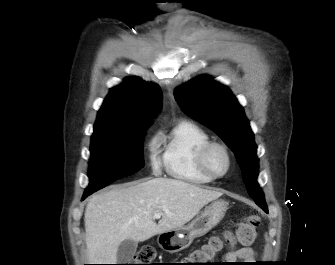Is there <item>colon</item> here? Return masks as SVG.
Wrapping results in <instances>:
<instances>
[{"label": "colon", "instance_id": "colon-1", "mask_svg": "<svg viewBox=\"0 0 335 265\" xmlns=\"http://www.w3.org/2000/svg\"><path fill=\"white\" fill-rule=\"evenodd\" d=\"M260 226V218L257 215H249L237 223L235 230L225 231L222 235L211 237L199 249L194 250L185 260L189 265H210L216 256L226 245L241 244L248 246L257 237ZM156 252L151 246L142 247L134 257L133 264L126 265H153Z\"/></svg>", "mask_w": 335, "mask_h": 265}]
</instances>
